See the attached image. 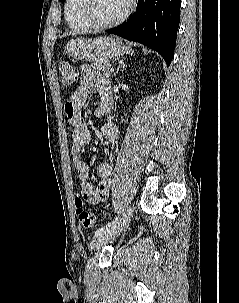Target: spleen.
I'll return each instance as SVG.
<instances>
[{"instance_id":"obj_1","label":"spleen","mask_w":239,"mask_h":303,"mask_svg":"<svg viewBox=\"0 0 239 303\" xmlns=\"http://www.w3.org/2000/svg\"><path fill=\"white\" fill-rule=\"evenodd\" d=\"M126 53L132 55L134 53V51L132 49H130L129 47H126Z\"/></svg>"}]
</instances>
